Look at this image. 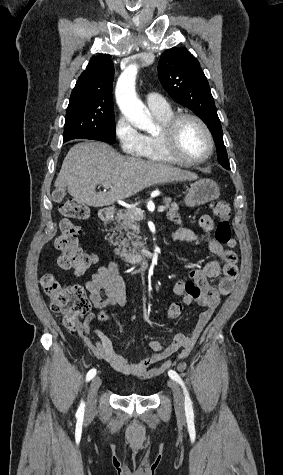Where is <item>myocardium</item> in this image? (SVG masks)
<instances>
[{"mask_svg": "<svg viewBox=\"0 0 283 475\" xmlns=\"http://www.w3.org/2000/svg\"><path fill=\"white\" fill-rule=\"evenodd\" d=\"M185 119H192L196 121L203 129L207 141H208V149L206 153L202 156L196 158H185V157H171L166 151V144H175L176 142V135L178 132V127L181 122ZM215 144L212 132L205 121L192 113H176L174 114L166 124L161 128V131L158 136V152L162 157L164 162H204L208 160L214 153Z\"/></svg>", "mask_w": 283, "mask_h": 475, "instance_id": "myocardium-1", "label": "myocardium"}]
</instances>
